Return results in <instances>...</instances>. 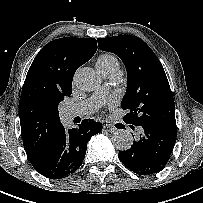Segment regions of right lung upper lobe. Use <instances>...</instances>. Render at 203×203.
Returning a JSON list of instances; mask_svg holds the SVG:
<instances>
[{"label": "right lung upper lobe", "instance_id": "obj_1", "mask_svg": "<svg viewBox=\"0 0 203 203\" xmlns=\"http://www.w3.org/2000/svg\"><path fill=\"white\" fill-rule=\"evenodd\" d=\"M96 50V39L65 37L45 45L32 62L19 101L21 135L29 160L46 149L61 127L58 105L71 95L77 68Z\"/></svg>", "mask_w": 203, "mask_h": 203}]
</instances>
